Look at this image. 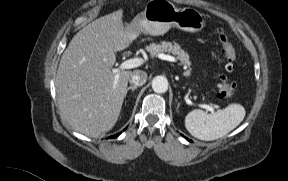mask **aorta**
<instances>
[{
  "instance_id": "762f6f07",
  "label": "aorta",
  "mask_w": 288,
  "mask_h": 181,
  "mask_svg": "<svg viewBox=\"0 0 288 181\" xmlns=\"http://www.w3.org/2000/svg\"><path fill=\"white\" fill-rule=\"evenodd\" d=\"M152 89L156 93H165L168 90V80L164 76H156L152 80Z\"/></svg>"
}]
</instances>
